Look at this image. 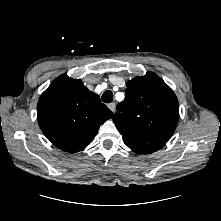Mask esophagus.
Masks as SVG:
<instances>
[{
  "label": "esophagus",
  "instance_id": "1",
  "mask_svg": "<svg viewBox=\"0 0 221 221\" xmlns=\"http://www.w3.org/2000/svg\"><path fill=\"white\" fill-rule=\"evenodd\" d=\"M108 108H109L112 112H115V103H110V104H108Z\"/></svg>",
  "mask_w": 221,
  "mask_h": 221
}]
</instances>
